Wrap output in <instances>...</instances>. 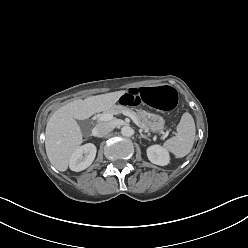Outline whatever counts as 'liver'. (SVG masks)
Listing matches in <instances>:
<instances>
[{
    "instance_id": "1",
    "label": "liver",
    "mask_w": 248,
    "mask_h": 248,
    "mask_svg": "<svg viewBox=\"0 0 248 248\" xmlns=\"http://www.w3.org/2000/svg\"><path fill=\"white\" fill-rule=\"evenodd\" d=\"M125 91L78 99L59 108L49 118L45 131V147L50 163L59 171L68 169L73 152L83 142V134L76 120H85L93 114L106 111Z\"/></svg>"
}]
</instances>
